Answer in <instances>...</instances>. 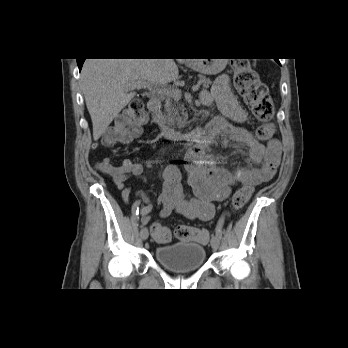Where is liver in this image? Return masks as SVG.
I'll use <instances>...</instances> for the list:
<instances>
[{"label": "liver", "mask_w": 348, "mask_h": 348, "mask_svg": "<svg viewBox=\"0 0 348 348\" xmlns=\"http://www.w3.org/2000/svg\"><path fill=\"white\" fill-rule=\"evenodd\" d=\"M174 59H87L81 87L97 141L120 111L134 98L130 85L146 81L167 85L178 78Z\"/></svg>", "instance_id": "obj_1"}]
</instances>
